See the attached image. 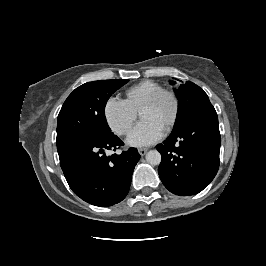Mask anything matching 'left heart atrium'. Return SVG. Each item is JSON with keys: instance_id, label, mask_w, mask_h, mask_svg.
I'll return each instance as SVG.
<instances>
[{"instance_id": "39dd6f15", "label": "left heart atrium", "mask_w": 266, "mask_h": 266, "mask_svg": "<svg viewBox=\"0 0 266 266\" xmlns=\"http://www.w3.org/2000/svg\"><path fill=\"white\" fill-rule=\"evenodd\" d=\"M164 135V127L154 119L139 122L129 134L127 142L131 146H148L159 141Z\"/></svg>"}]
</instances>
